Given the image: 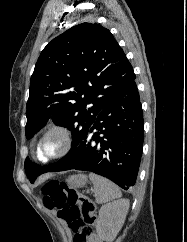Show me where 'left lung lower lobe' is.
<instances>
[{
    "label": "left lung lower lobe",
    "mask_w": 187,
    "mask_h": 242,
    "mask_svg": "<svg viewBox=\"0 0 187 242\" xmlns=\"http://www.w3.org/2000/svg\"><path fill=\"white\" fill-rule=\"evenodd\" d=\"M143 140L142 106L134 79L99 112L77 148L50 171H90L128 190L136 183Z\"/></svg>",
    "instance_id": "left-lung-lower-lobe-1"
}]
</instances>
